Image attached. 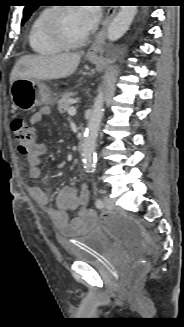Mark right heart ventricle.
<instances>
[{"mask_svg":"<svg viewBox=\"0 0 184 327\" xmlns=\"http://www.w3.org/2000/svg\"><path fill=\"white\" fill-rule=\"evenodd\" d=\"M50 9L41 10L31 22L28 41L32 50L41 55H55L65 48L56 43L46 32L45 21Z\"/></svg>","mask_w":184,"mask_h":327,"instance_id":"1","label":"right heart ventricle"}]
</instances>
